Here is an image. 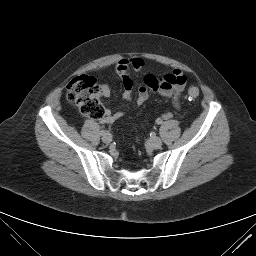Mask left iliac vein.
<instances>
[{
  "instance_id": "4c4485c4",
  "label": "left iliac vein",
  "mask_w": 256,
  "mask_h": 256,
  "mask_svg": "<svg viewBox=\"0 0 256 256\" xmlns=\"http://www.w3.org/2000/svg\"><path fill=\"white\" fill-rule=\"evenodd\" d=\"M148 145L153 149H159L162 146V140L159 137H152L149 139Z\"/></svg>"
}]
</instances>
